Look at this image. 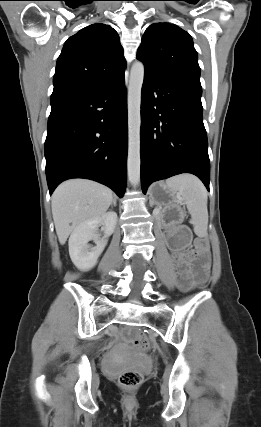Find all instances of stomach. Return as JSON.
I'll use <instances>...</instances> for the list:
<instances>
[{"label":"stomach","mask_w":261,"mask_h":427,"mask_svg":"<svg viewBox=\"0 0 261 427\" xmlns=\"http://www.w3.org/2000/svg\"><path fill=\"white\" fill-rule=\"evenodd\" d=\"M175 194L165 183L158 182L150 188V203L160 206L172 205L175 202Z\"/></svg>","instance_id":"obj_1"}]
</instances>
